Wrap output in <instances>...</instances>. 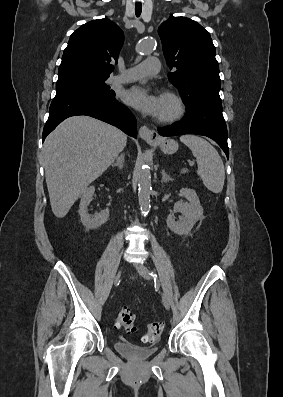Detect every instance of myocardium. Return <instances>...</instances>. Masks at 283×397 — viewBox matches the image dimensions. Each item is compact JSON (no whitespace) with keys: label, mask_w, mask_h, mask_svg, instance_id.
<instances>
[{"label":"myocardium","mask_w":283,"mask_h":397,"mask_svg":"<svg viewBox=\"0 0 283 397\" xmlns=\"http://www.w3.org/2000/svg\"><path fill=\"white\" fill-rule=\"evenodd\" d=\"M161 97L171 100L174 104V110L168 115L158 117L157 121L160 123H173L181 119L185 113V103L181 96L167 90L162 93Z\"/></svg>","instance_id":"1"}]
</instances>
